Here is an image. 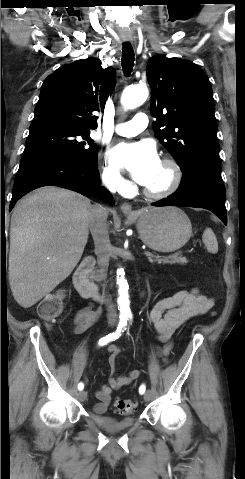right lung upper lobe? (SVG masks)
<instances>
[{
    "instance_id": "right-lung-upper-lobe-1",
    "label": "right lung upper lobe",
    "mask_w": 245,
    "mask_h": 479,
    "mask_svg": "<svg viewBox=\"0 0 245 479\" xmlns=\"http://www.w3.org/2000/svg\"><path fill=\"white\" fill-rule=\"evenodd\" d=\"M114 86L113 69H102L99 59L64 65L44 80L30 127L57 124L95 129L98 117L93 112L104 111Z\"/></svg>"
}]
</instances>
